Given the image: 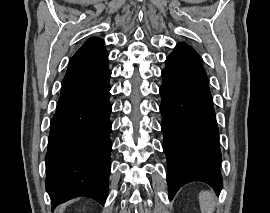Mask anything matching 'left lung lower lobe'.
Here are the masks:
<instances>
[{"label": "left lung lower lobe", "mask_w": 270, "mask_h": 213, "mask_svg": "<svg viewBox=\"0 0 270 213\" xmlns=\"http://www.w3.org/2000/svg\"><path fill=\"white\" fill-rule=\"evenodd\" d=\"M163 149L169 199L186 183L201 181L218 194L223 186L216 115L203 67L162 71Z\"/></svg>", "instance_id": "obj_1"}]
</instances>
